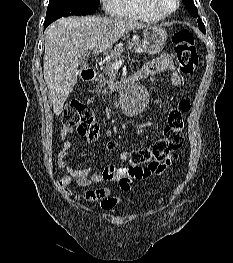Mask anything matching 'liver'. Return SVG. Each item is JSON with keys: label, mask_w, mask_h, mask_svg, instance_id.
I'll return each instance as SVG.
<instances>
[{"label": "liver", "mask_w": 233, "mask_h": 263, "mask_svg": "<svg viewBox=\"0 0 233 263\" xmlns=\"http://www.w3.org/2000/svg\"><path fill=\"white\" fill-rule=\"evenodd\" d=\"M145 27L132 19L95 16H72L51 24L45 32L43 74L54 114H61L76 83L79 63L88 57L92 42H97L95 55L109 52L125 33Z\"/></svg>", "instance_id": "liver-1"}]
</instances>
